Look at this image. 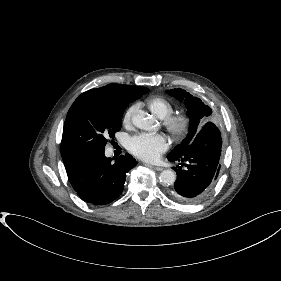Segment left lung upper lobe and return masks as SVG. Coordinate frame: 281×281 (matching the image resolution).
<instances>
[{
  "label": "left lung upper lobe",
  "instance_id": "left-lung-upper-lobe-1",
  "mask_svg": "<svg viewBox=\"0 0 281 281\" xmlns=\"http://www.w3.org/2000/svg\"><path fill=\"white\" fill-rule=\"evenodd\" d=\"M169 95L176 97L178 100L186 101L188 116L190 118L191 127L187 137L181 144L177 145L168 156H181L186 151L187 146L191 144L201 129L202 123L211 115V109L205 105L201 99L193 97L191 94L182 89H171L167 91Z\"/></svg>",
  "mask_w": 281,
  "mask_h": 281
}]
</instances>
